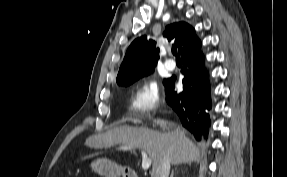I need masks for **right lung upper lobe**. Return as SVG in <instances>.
Masks as SVG:
<instances>
[{
	"label": "right lung upper lobe",
	"instance_id": "right-lung-upper-lobe-1",
	"mask_svg": "<svg viewBox=\"0 0 287 177\" xmlns=\"http://www.w3.org/2000/svg\"><path fill=\"white\" fill-rule=\"evenodd\" d=\"M163 35L182 54L195 34L189 24L179 22L168 25ZM155 45V41L148 40L146 36L136 38L127 49L117 75V83L135 80L152 72L159 57V49H155Z\"/></svg>",
	"mask_w": 287,
	"mask_h": 177
}]
</instances>
